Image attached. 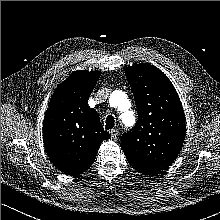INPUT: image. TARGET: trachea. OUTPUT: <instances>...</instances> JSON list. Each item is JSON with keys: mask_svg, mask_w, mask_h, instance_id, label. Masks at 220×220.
I'll list each match as a JSON object with an SVG mask.
<instances>
[{"mask_svg": "<svg viewBox=\"0 0 220 220\" xmlns=\"http://www.w3.org/2000/svg\"><path fill=\"white\" fill-rule=\"evenodd\" d=\"M105 123H106L105 127H106L107 130L112 129L114 127V125H115L114 117L112 115H108L106 117Z\"/></svg>", "mask_w": 220, "mask_h": 220, "instance_id": "trachea-1", "label": "trachea"}]
</instances>
